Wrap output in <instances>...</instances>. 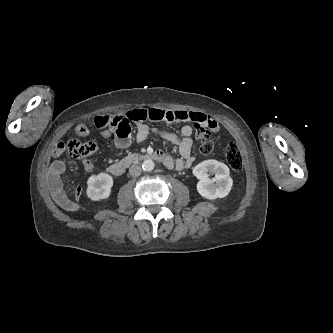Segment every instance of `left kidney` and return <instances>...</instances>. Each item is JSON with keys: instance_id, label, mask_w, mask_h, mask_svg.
Segmentation results:
<instances>
[{"instance_id": "1", "label": "left kidney", "mask_w": 333, "mask_h": 333, "mask_svg": "<svg viewBox=\"0 0 333 333\" xmlns=\"http://www.w3.org/2000/svg\"><path fill=\"white\" fill-rule=\"evenodd\" d=\"M214 174L213 179L209 174ZM193 174L199 179L198 193L209 200L227 196L232 188L233 180L227 165L217 160H205L193 169Z\"/></svg>"}]
</instances>
